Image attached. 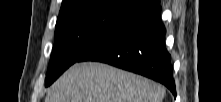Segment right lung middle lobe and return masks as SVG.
<instances>
[{"mask_svg": "<svg viewBox=\"0 0 221 102\" xmlns=\"http://www.w3.org/2000/svg\"><path fill=\"white\" fill-rule=\"evenodd\" d=\"M139 12L122 0H90L60 13L45 86Z\"/></svg>", "mask_w": 221, "mask_h": 102, "instance_id": "right-lung-middle-lobe-1", "label": "right lung middle lobe"}]
</instances>
